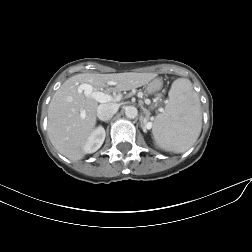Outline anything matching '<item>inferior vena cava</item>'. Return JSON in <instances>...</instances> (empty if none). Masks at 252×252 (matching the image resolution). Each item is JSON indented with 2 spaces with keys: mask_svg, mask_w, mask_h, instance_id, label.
<instances>
[{
  "mask_svg": "<svg viewBox=\"0 0 252 252\" xmlns=\"http://www.w3.org/2000/svg\"><path fill=\"white\" fill-rule=\"evenodd\" d=\"M118 106L114 103L100 104L97 108V116L102 121L110 120L117 112Z\"/></svg>",
  "mask_w": 252,
  "mask_h": 252,
  "instance_id": "1",
  "label": "inferior vena cava"
}]
</instances>
